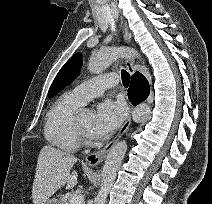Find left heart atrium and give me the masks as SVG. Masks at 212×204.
I'll list each match as a JSON object with an SVG mask.
<instances>
[{"label": "left heart atrium", "mask_w": 212, "mask_h": 204, "mask_svg": "<svg viewBox=\"0 0 212 204\" xmlns=\"http://www.w3.org/2000/svg\"><path fill=\"white\" fill-rule=\"evenodd\" d=\"M125 116V107L120 101L106 99L96 110V115L91 127V135L101 138L113 133Z\"/></svg>", "instance_id": "left-heart-atrium-1"}]
</instances>
